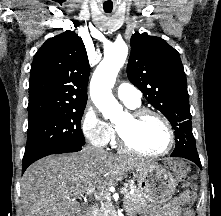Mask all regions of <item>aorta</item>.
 I'll list each match as a JSON object with an SVG mask.
<instances>
[{
	"label": "aorta",
	"mask_w": 221,
	"mask_h": 216,
	"mask_svg": "<svg viewBox=\"0 0 221 216\" xmlns=\"http://www.w3.org/2000/svg\"><path fill=\"white\" fill-rule=\"evenodd\" d=\"M128 55L124 42L113 43L105 52L104 59L96 68L90 82V96L105 119L113 120L123 113L120 103L112 95L119 70Z\"/></svg>",
	"instance_id": "762f6f07"
}]
</instances>
